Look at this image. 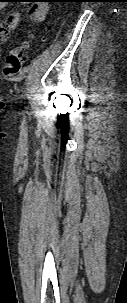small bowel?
<instances>
[{"instance_id":"1","label":"small bowel","mask_w":127,"mask_h":303,"mask_svg":"<svg viewBox=\"0 0 127 303\" xmlns=\"http://www.w3.org/2000/svg\"><path fill=\"white\" fill-rule=\"evenodd\" d=\"M44 0H38L33 3L28 11L27 16L32 21L42 22L46 19L49 7L46 3H43ZM20 14L19 13H12L9 15L8 19L6 20L5 24L0 20V42H5L10 33L15 30L19 23H20Z\"/></svg>"}]
</instances>
